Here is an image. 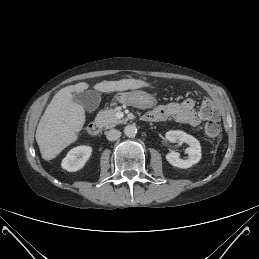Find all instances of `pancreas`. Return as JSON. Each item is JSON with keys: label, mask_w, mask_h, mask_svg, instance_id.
I'll use <instances>...</instances> for the list:
<instances>
[{"label": "pancreas", "mask_w": 259, "mask_h": 259, "mask_svg": "<svg viewBox=\"0 0 259 259\" xmlns=\"http://www.w3.org/2000/svg\"><path fill=\"white\" fill-rule=\"evenodd\" d=\"M95 121L105 129L115 127L123 122V120L116 117V111L113 109L100 110Z\"/></svg>", "instance_id": "obj_1"}]
</instances>
